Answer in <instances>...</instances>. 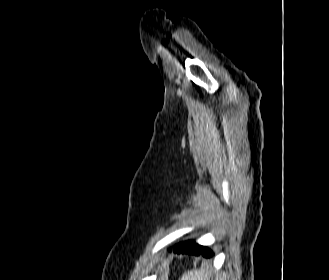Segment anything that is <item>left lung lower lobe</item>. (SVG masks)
Wrapping results in <instances>:
<instances>
[{
	"label": "left lung lower lobe",
	"instance_id": "1",
	"mask_svg": "<svg viewBox=\"0 0 329 280\" xmlns=\"http://www.w3.org/2000/svg\"><path fill=\"white\" fill-rule=\"evenodd\" d=\"M174 252L194 255L202 254L204 257H211L213 255L208 248L200 246L193 241H187L176 245Z\"/></svg>",
	"mask_w": 329,
	"mask_h": 280
}]
</instances>
